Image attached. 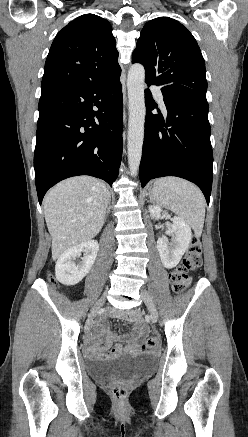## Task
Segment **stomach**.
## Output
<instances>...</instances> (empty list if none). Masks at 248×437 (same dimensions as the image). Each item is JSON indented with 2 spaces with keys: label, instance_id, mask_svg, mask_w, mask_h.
<instances>
[{
  "label": "stomach",
  "instance_id": "obj_1",
  "mask_svg": "<svg viewBox=\"0 0 248 437\" xmlns=\"http://www.w3.org/2000/svg\"><path fill=\"white\" fill-rule=\"evenodd\" d=\"M152 196H153V189L150 191V197H151V199H152Z\"/></svg>",
  "mask_w": 248,
  "mask_h": 437
}]
</instances>
